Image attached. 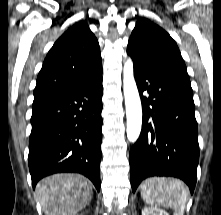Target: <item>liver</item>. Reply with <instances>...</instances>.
<instances>
[{
  "label": "liver",
  "mask_w": 221,
  "mask_h": 215,
  "mask_svg": "<svg viewBox=\"0 0 221 215\" xmlns=\"http://www.w3.org/2000/svg\"><path fill=\"white\" fill-rule=\"evenodd\" d=\"M36 193L45 215H75L90 203L93 186L80 174L61 173L42 179Z\"/></svg>",
  "instance_id": "1"
}]
</instances>
